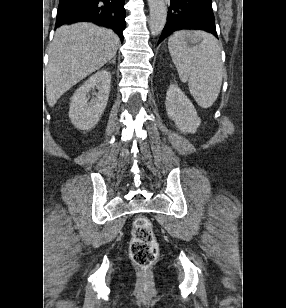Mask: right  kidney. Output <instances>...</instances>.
Returning <instances> with one entry per match:
<instances>
[{
    "instance_id": "1",
    "label": "right kidney",
    "mask_w": 286,
    "mask_h": 308,
    "mask_svg": "<svg viewBox=\"0 0 286 308\" xmlns=\"http://www.w3.org/2000/svg\"><path fill=\"white\" fill-rule=\"evenodd\" d=\"M111 73L107 70L98 71L80 86L72 96L69 118L80 130H91L99 122L108 102L110 93ZM97 88L95 98L89 100L90 91Z\"/></svg>"
}]
</instances>
